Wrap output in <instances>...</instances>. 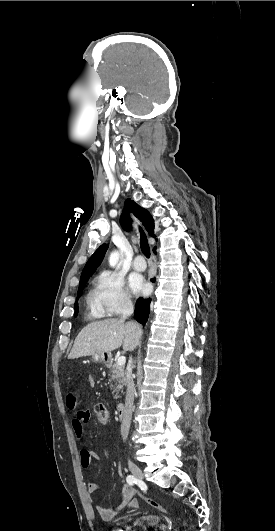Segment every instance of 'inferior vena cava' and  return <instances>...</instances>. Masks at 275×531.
Listing matches in <instances>:
<instances>
[{
    "mask_svg": "<svg viewBox=\"0 0 275 531\" xmlns=\"http://www.w3.org/2000/svg\"><path fill=\"white\" fill-rule=\"evenodd\" d=\"M130 315H133V305L132 301L130 299H125V303L123 305V311H122V319H127V317H130ZM134 369L133 365V359L130 357L127 371V391H126V399H125V407L123 411V419L121 423V437L125 443L126 439H128L129 435V429L131 425V419H132V413L134 411L133 403H134V381H133V375L132 371Z\"/></svg>",
    "mask_w": 275,
    "mask_h": 531,
    "instance_id": "obj_1",
    "label": "inferior vena cava"
}]
</instances>
